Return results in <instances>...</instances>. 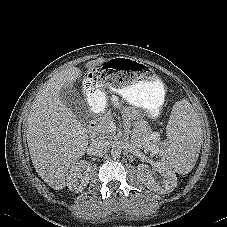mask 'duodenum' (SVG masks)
Returning <instances> with one entry per match:
<instances>
[{"label":"duodenum","mask_w":227,"mask_h":227,"mask_svg":"<svg viewBox=\"0 0 227 227\" xmlns=\"http://www.w3.org/2000/svg\"><path fill=\"white\" fill-rule=\"evenodd\" d=\"M96 126H97V120L94 118L91 119L87 126V133L91 138L94 137V135H95Z\"/></svg>","instance_id":"obj_1"}]
</instances>
